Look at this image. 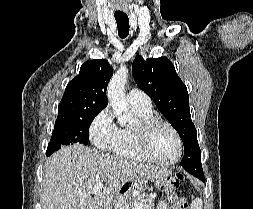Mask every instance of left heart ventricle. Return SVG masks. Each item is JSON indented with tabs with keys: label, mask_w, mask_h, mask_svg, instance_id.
Segmentation results:
<instances>
[{
	"label": "left heart ventricle",
	"mask_w": 253,
	"mask_h": 209,
	"mask_svg": "<svg viewBox=\"0 0 253 209\" xmlns=\"http://www.w3.org/2000/svg\"><path fill=\"white\" fill-rule=\"evenodd\" d=\"M149 149L160 160L174 159L177 154V142L172 131L164 125H156L151 132Z\"/></svg>",
	"instance_id": "1"
}]
</instances>
